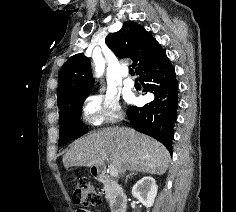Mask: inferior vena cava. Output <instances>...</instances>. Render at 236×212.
Instances as JSON below:
<instances>
[{
	"instance_id": "obj_1",
	"label": "inferior vena cava",
	"mask_w": 236,
	"mask_h": 212,
	"mask_svg": "<svg viewBox=\"0 0 236 212\" xmlns=\"http://www.w3.org/2000/svg\"><path fill=\"white\" fill-rule=\"evenodd\" d=\"M125 171H126V168L124 167V168L121 169L120 172H121L122 175H124Z\"/></svg>"
}]
</instances>
